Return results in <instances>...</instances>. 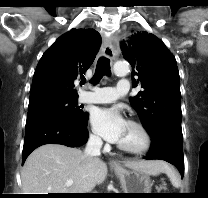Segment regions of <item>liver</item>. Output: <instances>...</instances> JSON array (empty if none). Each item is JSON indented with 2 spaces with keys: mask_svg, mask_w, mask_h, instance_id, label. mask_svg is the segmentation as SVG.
Masks as SVG:
<instances>
[{
  "mask_svg": "<svg viewBox=\"0 0 208 198\" xmlns=\"http://www.w3.org/2000/svg\"><path fill=\"white\" fill-rule=\"evenodd\" d=\"M124 165L149 175L164 171L161 161H126ZM107 165L100 158L60 144H46L34 150L21 171L23 194L85 193L107 177ZM72 180L71 186L66 182Z\"/></svg>",
  "mask_w": 208,
  "mask_h": 198,
  "instance_id": "obj_1",
  "label": "liver"
}]
</instances>
